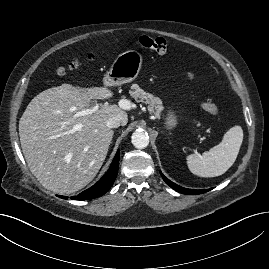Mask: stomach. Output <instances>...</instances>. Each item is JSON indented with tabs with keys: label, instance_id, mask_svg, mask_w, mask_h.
<instances>
[{
	"label": "stomach",
	"instance_id": "1",
	"mask_svg": "<svg viewBox=\"0 0 269 269\" xmlns=\"http://www.w3.org/2000/svg\"><path fill=\"white\" fill-rule=\"evenodd\" d=\"M143 63L142 54L135 50H127L117 56L110 70L105 74V86H119L133 81L139 74ZM166 128L171 129L177 124L175 113L169 109L166 117Z\"/></svg>",
	"mask_w": 269,
	"mask_h": 269
}]
</instances>
